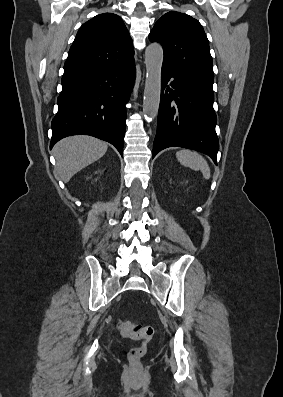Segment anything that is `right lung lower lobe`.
Masks as SVG:
<instances>
[{
    "label": "right lung lower lobe",
    "instance_id": "98d812e1",
    "mask_svg": "<svg viewBox=\"0 0 283 397\" xmlns=\"http://www.w3.org/2000/svg\"><path fill=\"white\" fill-rule=\"evenodd\" d=\"M135 80L134 60L122 66L62 80L50 149L60 139L91 135L113 144L123 156L126 109Z\"/></svg>",
    "mask_w": 283,
    "mask_h": 397
}]
</instances>
